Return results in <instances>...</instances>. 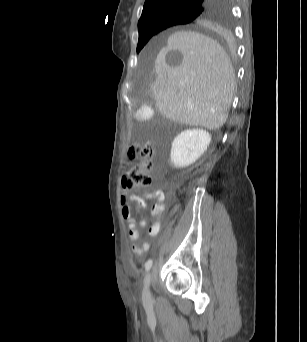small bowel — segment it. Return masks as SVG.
<instances>
[{
  "label": "small bowel",
  "mask_w": 307,
  "mask_h": 342,
  "mask_svg": "<svg viewBox=\"0 0 307 342\" xmlns=\"http://www.w3.org/2000/svg\"><path fill=\"white\" fill-rule=\"evenodd\" d=\"M164 198H165L164 193L161 190L147 191L145 193L144 198H141L134 194L129 196L130 201L135 202L137 209L139 210L145 209L147 207V201H152V200L156 201L151 209L154 222L148 231V234L150 237H155L159 233L160 218L164 210ZM123 216L128 222L130 239L133 241L138 240L139 238L138 226L142 228L145 227L147 224L146 220L140 219L138 223H136L129 209H125L123 211ZM148 248H149V244L147 242H143L140 245H134L132 247V251L135 254L140 255V254L145 253L148 250Z\"/></svg>",
  "instance_id": "c3829d8e"
}]
</instances>
